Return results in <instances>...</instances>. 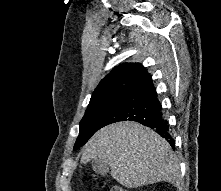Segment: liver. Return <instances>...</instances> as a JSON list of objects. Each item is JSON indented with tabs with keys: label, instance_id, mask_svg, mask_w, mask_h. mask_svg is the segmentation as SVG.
Listing matches in <instances>:
<instances>
[{
	"label": "liver",
	"instance_id": "1",
	"mask_svg": "<svg viewBox=\"0 0 221 191\" xmlns=\"http://www.w3.org/2000/svg\"><path fill=\"white\" fill-rule=\"evenodd\" d=\"M99 158L111 176L126 188L160 181L179 185V164L165 139L137 122H117L97 131L87 142L80 162Z\"/></svg>",
	"mask_w": 221,
	"mask_h": 191
}]
</instances>
